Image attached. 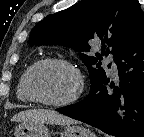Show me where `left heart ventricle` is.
<instances>
[{
	"label": "left heart ventricle",
	"instance_id": "left-heart-ventricle-1",
	"mask_svg": "<svg viewBox=\"0 0 144 137\" xmlns=\"http://www.w3.org/2000/svg\"><path fill=\"white\" fill-rule=\"evenodd\" d=\"M77 78L68 68L60 65H44L32 77V89L42 99L62 101L71 97L77 89Z\"/></svg>",
	"mask_w": 144,
	"mask_h": 137
}]
</instances>
